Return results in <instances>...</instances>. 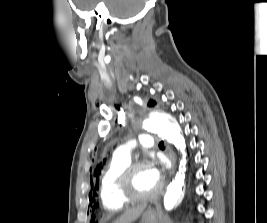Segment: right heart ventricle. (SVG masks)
I'll list each match as a JSON object with an SVG mask.
<instances>
[{"label":"right heart ventricle","mask_w":267,"mask_h":223,"mask_svg":"<svg viewBox=\"0 0 267 223\" xmlns=\"http://www.w3.org/2000/svg\"><path fill=\"white\" fill-rule=\"evenodd\" d=\"M129 164L130 159L114 156L103 173L100 198L102 205L108 211H117L126 205L118 191V179Z\"/></svg>","instance_id":"obj_1"}]
</instances>
